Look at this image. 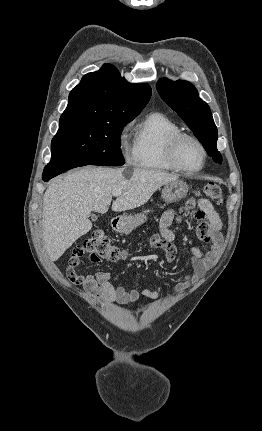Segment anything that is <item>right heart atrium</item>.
I'll return each instance as SVG.
<instances>
[{
  "mask_svg": "<svg viewBox=\"0 0 262 431\" xmlns=\"http://www.w3.org/2000/svg\"><path fill=\"white\" fill-rule=\"evenodd\" d=\"M128 127H125L119 137V145L120 149L125 157L126 160H131L133 154H132V147L129 142L128 134H127Z\"/></svg>",
  "mask_w": 262,
  "mask_h": 431,
  "instance_id": "right-heart-atrium-1",
  "label": "right heart atrium"
}]
</instances>
